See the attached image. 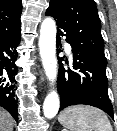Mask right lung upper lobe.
Listing matches in <instances>:
<instances>
[{"mask_svg":"<svg viewBox=\"0 0 117 131\" xmlns=\"http://www.w3.org/2000/svg\"><path fill=\"white\" fill-rule=\"evenodd\" d=\"M21 0H0V41L20 32Z\"/></svg>","mask_w":117,"mask_h":131,"instance_id":"cb5924a9","label":"right lung upper lobe"}]
</instances>
